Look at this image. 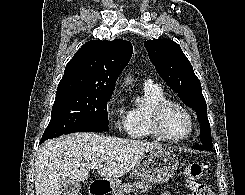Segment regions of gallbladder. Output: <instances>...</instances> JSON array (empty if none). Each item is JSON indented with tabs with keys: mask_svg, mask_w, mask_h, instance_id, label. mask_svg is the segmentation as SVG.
Returning <instances> with one entry per match:
<instances>
[{
	"mask_svg": "<svg viewBox=\"0 0 245 195\" xmlns=\"http://www.w3.org/2000/svg\"><path fill=\"white\" fill-rule=\"evenodd\" d=\"M81 190V185L76 182L66 183L62 186L63 195H77Z\"/></svg>",
	"mask_w": 245,
	"mask_h": 195,
	"instance_id": "bac80fb5",
	"label": "gallbladder"
}]
</instances>
